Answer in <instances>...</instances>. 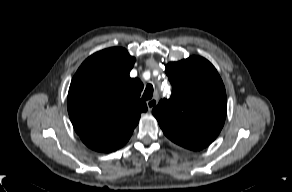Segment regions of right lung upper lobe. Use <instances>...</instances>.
<instances>
[{
  "instance_id": "obj_1",
  "label": "right lung upper lobe",
  "mask_w": 292,
  "mask_h": 192,
  "mask_svg": "<svg viewBox=\"0 0 292 192\" xmlns=\"http://www.w3.org/2000/svg\"><path fill=\"white\" fill-rule=\"evenodd\" d=\"M134 62L126 49L108 48L88 57L71 81L69 117L81 140L95 151L125 145L147 111L140 99L143 84L129 76Z\"/></svg>"
}]
</instances>
